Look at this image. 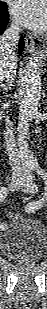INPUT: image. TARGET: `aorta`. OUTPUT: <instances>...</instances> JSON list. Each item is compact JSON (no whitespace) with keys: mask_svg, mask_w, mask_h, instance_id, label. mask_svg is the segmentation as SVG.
<instances>
[{"mask_svg":"<svg viewBox=\"0 0 47 309\" xmlns=\"http://www.w3.org/2000/svg\"><path fill=\"white\" fill-rule=\"evenodd\" d=\"M41 57L35 53L29 60L23 76L22 97L18 117V153L22 158L32 159L27 143L30 122L38 111L42 95Z\"/></svg>","mask_w":47,"mask_h":309,"instance_id":"aorta-1","label":"aorta"}]
</instances>
